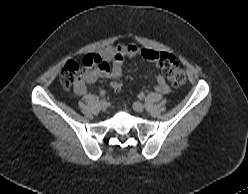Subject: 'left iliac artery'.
<instances>
[{
	"mask_svg": "<svg viewBox=\"0 0 248 194\" xmlns=\"http://www.w3.org/2000/svg\"><path fill=\"white\" fill-rule=\"evenodd\" d=\"M138 98L143 100L145 98V94L143 92L139 93Z\"/></svg>",
	"mask_w": 248,
	"mask_h": 194,
	"instance_id": "44dca946",
	"label": "left iliac artery"
}]
</instances>
